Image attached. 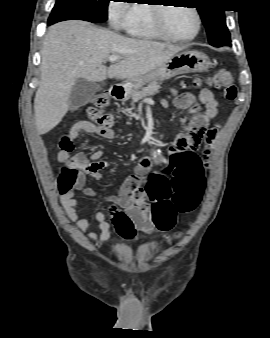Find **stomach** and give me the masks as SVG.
Listing matches in <instances>:
<instances>
[{
	"instance_id": "0dacf381",
	"label": "stomach",
	"mask_w": 270,
	"mask_h": 338,
	"mask_svg": "<svg viewBox=\"0 0 270 338\" xmlns=\"http://www.w3.org/2000/svg\"><path fill=\"white\" fill-rule=\"evenodd\" d=\"M210 65L211 62L205 54L184 50L149 73L127 81L123 87L130 92L153 81L169 79L181 74L206 72Z\"/></svg>"
}]
</instances>
